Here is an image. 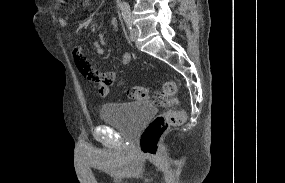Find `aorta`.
<instances>
[{
    "label": "aorta",
    "mask_w": 285,
    "mask_h": 183,
    "mask_svg": "<svg viewBox=\"0 0 285 183\" xmlns=\"http://www.w3.org/2000/svg\"><path fill=\"white\" fill-rule=\"evenodd\" d=\"M127 6H128V4H127L126 2H122V3L120 4V7H121L122 9L126 8Z\"/></svg>",
    "instance_id": "1"
}]
</instances>
